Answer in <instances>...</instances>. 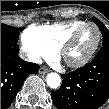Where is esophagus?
<instances>
[{
    "instance_id": "obj_1",
    "label": "esophagus",
    "mask_w": 109,
    "mask_h": 109,
    "mask_svg": "<svg viewBox=\"0 0 109 109\" xmlns=\"http://www.w3.org/2000/svg\"><path fill=\"white\" fill-rule=\"evenodd\" d=\"M49 72V70L47 69V68H45V67H41L40 69H39V73L40 74H46V73H48Z\"/></svg>"
}]
</instances>
